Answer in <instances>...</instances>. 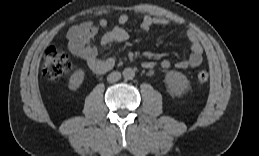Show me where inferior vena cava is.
I'll list each match as a JSON object with an SVG mask.
<instances>
[{
  "mask_svg": "<svg viewBox=\"0 0 259 156\" xmlns=\"http://www.w3.org/2000/svg\"><path fill=\"white\" fill-rule=\"evenodd\" d=\"M120 78H121V73L118 71H114L107 76V81L109 83H114L118 81Z\"/></svg>",
  "mask_w": 259,
  "mask_h": 156,
  "instance_id": "602c4592",
  "label": "inferior vena cava"
}]
</instances>
